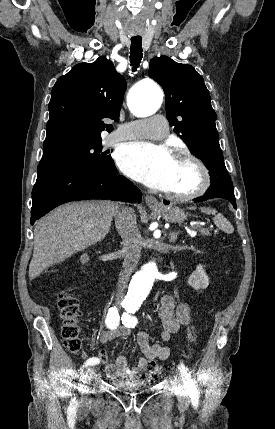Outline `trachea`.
Wrapping results in <instances>:
<instances>
[{
	"label": "trachea",
	"instance_id": "obj_1",
	"mask_svg": "<svg viewBox=\"0 0 275 429\" xmlns=\"http://www.w3.org/2000/svg\"><path fill=\"white\" fill-rule=\"evenodd\" d=\"M142 39L141 37H132L131 38V47H130V62L132 71H136L139 67L142 60Z\"/></svg>",
	"mask_w": 275,
	"mask_h": 429
}]
</instances>
